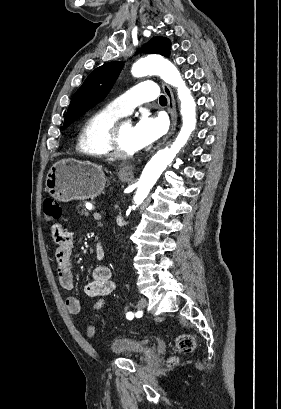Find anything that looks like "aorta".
<instances>
[{
  "label": "aorta",
  "instance_id": "aorta-1",
  "mask_svg": "<svg viewBox=\"0 0 281 409\" xmlns=\"http://www.w3.org/2000/svg\"><path fill=\"white\" fill-rule=\"evenodd\" d=\"M135 77L158 75L166 83L177 88L178 98L181 102L182 128L175 141L168 148L158 151L148 161L138 180V188L134 196L133 206L136 208L148 196L166 167L173 161L177 153L186 144L196 124V104L191 91L182 79L178 69L168 60L157 56H148L136 61L131 69Z\"/></svg>",
  "mask_w": 281,
  "mask_h": 409
}]
</instances>
